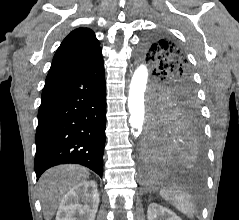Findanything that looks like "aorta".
Returning a JSON list of instances; mask_svg holds the SVG:
<instances>
[{
    "label": "aorta",
    "mask_w": 239,
    "mask_h": 220,
    "mask_svg": "<svg viewBox=\"0 0 239 220\" xmlns=\"http://www.w3.org/2000/svg\"><path fill=\"white\" fill-rule=\"evenodd\" d=\"M148 83V69L143 63H139L132 76L128 96L129 123L131 129L135 130L137 135L142 132L145 121L144 96Z\"/></svg>",
    "instance_id": "762f6f07"
}]
</instances>
